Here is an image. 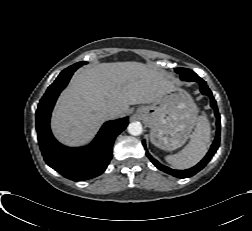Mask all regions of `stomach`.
<instances>
[{
  "label": "stomach",
  "instance_id": "obj_1",
  "mask_svg": "<svg viewBox=\"0 0 252 231\" xmlns=\"http://www.w3.org/2000/svg\"><path fill=\"white\" fill-rule=\"evenodd\" d=\"M197 113L191 96L182 89L166 93L136 111V115L151 128V142L168 151L181 147L190 137Z\"/></svg>",
  "mask_w": 252,
  "mask_h": 231
}]
</instances>
